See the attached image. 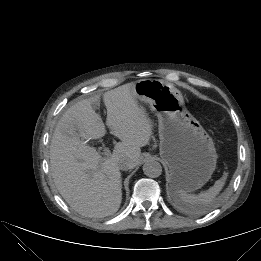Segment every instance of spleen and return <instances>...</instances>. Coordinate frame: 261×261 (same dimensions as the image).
Masks as SVG:
<instances>
[{
    "label": "spleen",
    "mask_w": 261,
    "mask_h": 261,
    "mask_svg": "<svg viewBox=\"0 0 261 261\" xmlns=\"http://www.w3.org/2000/svg\"><path fill=\"white\" fill-rule=\"evenodd\" d=\"M226 178L227 173H224V175L215 182L213 187L198 195L187 193H172V196L177 203L184 206L191 213L198 214L204 206L210 204L219 194L225 184Z\"/></svg>",
    "instance_id": "obj_1"
}]
</instances>
